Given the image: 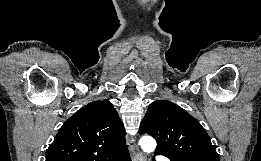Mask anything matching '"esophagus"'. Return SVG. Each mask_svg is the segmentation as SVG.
<instances>
[{
    "label": "esophagus",
    "mask_w": 261,
    "mask_h": 161,
    "mask_svg": "<svg viewBox=\"0 0 261 161\" xmlns=\"http://www.w3.org/2000/svg\"><path fill=\"white\" fill-rule=\"evenodd\" d=\"M132 161H146V158L142 152H137L132 158Z\"/></svg>",
    "instance_id": "obj_1"
}]
</instances>
